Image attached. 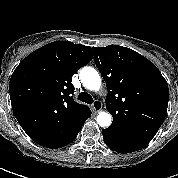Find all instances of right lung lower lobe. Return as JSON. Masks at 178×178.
I'll return each mask as SVG.
<instances>
[{
    "mask_svg": "<svg viewBox=\"0 0 178 178\" xmlns=\"http://www.w3.org/2000/svg\"><path fill=\"white\" fill-rule=\"evenodd\" d=\"M75 138H76V137H74V138L71 139L69 142H67V143H65V144H63V145H61V146H59V147H57V148H61V147H63V146H66L67 144L71 143ZM53 149H54V148H53Z\"/></svg>",
    "mask_w": 178,
    "mask_h": 178,
    "instance_id": "right-lung-lower-lobe-1",
    "label": "right lung lower lobe"
}]
</instances>
